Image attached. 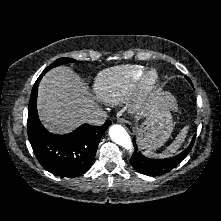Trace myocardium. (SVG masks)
<instances>
[{
	"label": "myocardium",
	"instance_id": "myocardium-1",
	"mask_svg": "<svg viewBox=\"0 0 221 221\" xmlns=\"http://www.w3.org/2000/svg\"><path fill=\"white\" fill-rule=\"evenodd\" d=\"M160 85V76L155 69L144 71L138 78L135 89L136 96V111H139L140 106L153 95Z\"/></svg>",
	"mask_w": 221,
	"mask_h": 221
}]
</instances>
